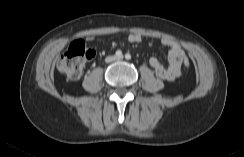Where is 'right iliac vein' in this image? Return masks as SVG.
Instances as JSON below:
<instances>
[{
  "mask_svg": "<svg viewBox=\"0 0 244 157\" xmlns=\"http://www.w3.org/2000/svg\"><path fill=\"white\" fill-rule=\"evenodd\" d=\"M113 60H114V58H113L112 56H109V57H107V59H106L107 62H111V61H113Z\"/></svg>",
  "mask_w": 244,
  "mask_h": 157,
  "instance_id": "63e3f726",
  "label": "right iliac vein"
}]
</instances>
